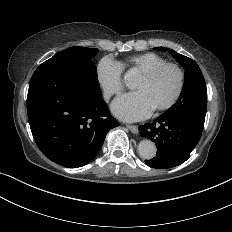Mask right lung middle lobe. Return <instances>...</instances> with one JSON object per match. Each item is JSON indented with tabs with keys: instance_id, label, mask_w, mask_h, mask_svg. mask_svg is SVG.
Masks as SVG:
<instances>
[{
	"instance_id": "dd1d6c3e",
	"label": "right lung middle lobe",
	"mask_w": 232,
	"mask_h": 232,
	"mask_svg": "<svg viewBox=\"0 0 232 232\" xmlns=\"http://www.w3.org/2000/svg\"><path fill=\"white\" fill-rule=\"evenodd\" d=\"M97 52L98 49L95 48L71 47L57 53L52 58L85 61L91 60V58H93ZM84 68L89 71L94 78H97V69L94 63L87 64Z\"/></svg>"
}]
</instances>
